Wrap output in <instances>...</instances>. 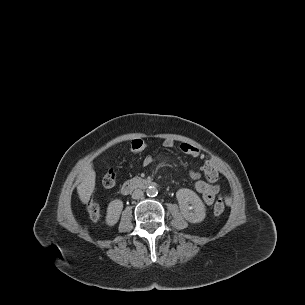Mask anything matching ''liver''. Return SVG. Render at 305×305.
Returning a JSON list of instances; mask_svg holds the SVG:
<instances>
[{"label": "liver", "mask_w": 305, "mask_h": 305, "mask_svg": "<svg viewBox=\"0 0 305 305\" xmlns=\"http://www.w3.org/2000/svg\"><path fill=\"white\" fill-rule=\"evenodd\" d=\"M82 182L77 187L80 200L88 203L95 188L96 174L92 165L87 163L81 172Z\"/></svg>", "instance_id": "liver-1"}]
</instances>
